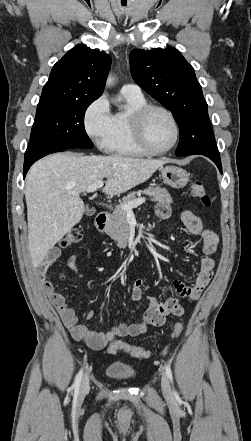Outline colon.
I'll return each mask as SVG.
<instances>
[{"instance_id":"1","label":"colon","mask_w":251,"mask_h":441,"mask_svg":"<svg viewBox=\"0 0 251 441\" xmlns=\"http://www.w3.org/2000/svg\"><path fill=\"white\" fill-rule=\"evenodd\" d=\"M191 196L199 199L203 206L209 207L211 205V198L207 194L201 181L195 180L190 185ZM82 239V233L79 229L74 228L67 232L59 242V246L62 248L69 247L78 243ZM183 323L177 322L172 329L171 338H177L183 331ZM109 353H117L119 351H124L129 355L136 358H145L150 355V351L146 348L130 345L121 340L113 341L108 347Z\"/></svg>"}]
</instances>
